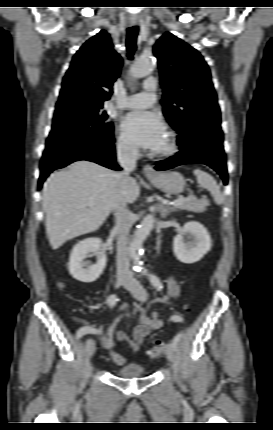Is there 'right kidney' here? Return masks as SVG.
<instances>
[{"label":"right kidney","mask_w":273,"mask_h":430,"mask_svg":"<svg viewBox=\"0 0 273 430\" xmlns=\"http://www.w3.org/2000/svg\"><path fill=\"white\" fill-rule=\"evenodd\" d=\"M101 239L91 237L78 242L72 249L68 263L70 275L83 283L96 281L106 266L104 252L100 251ZM92 253L97 256V262L91 265L84 260Z\"/></svg>","instance_id":"ca27d5eb"}]
</instances>
